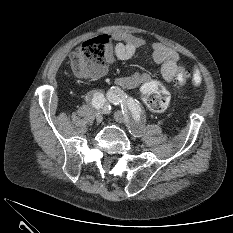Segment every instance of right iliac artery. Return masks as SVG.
Returning a JSON list of instances; mask_svg holds the SVG:
<instances>
[{
  "mask_svg": "<svg viewBox=\"0 0 233 233\" xmlns=\"http://www.w3.org/2000/svg\"><path fill=\"white\" fill-rule=\"evenodd\" d=\"M86 101L92 104L96 109H101L104 112L109 110V107L106 103V99L101 92L92 91L86 96Z\"/></svg>",
  "mask_w": 233,
  "mask_h": 233,
  "instance_id": "right-iliac-artery-1",
  "label": "right iliac artery"
}]
</instances>
